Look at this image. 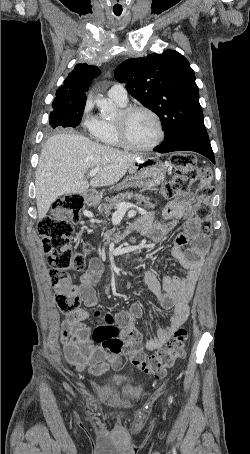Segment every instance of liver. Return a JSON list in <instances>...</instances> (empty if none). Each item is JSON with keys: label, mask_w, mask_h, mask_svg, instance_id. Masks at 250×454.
<instances>
[{"label": "liver", "mask_w": 250, "mask_h": 454, "mask_svg": "<svg viewBox=\"0 0 250 454\" xmlns=\"http://www.w3.org/2000/svg\"><path fill=\"white\" fill-rule=\"evenodd\" d=\"M138 159V155L95 143L82 135H53L41 151L36 170L38 219L46 216L61 195L83 194L89 186L117 183ZM92 169L98 172L89 182L85 173Z\"/></svg>", "instance_id": "6515ba94"}]
</instances>
